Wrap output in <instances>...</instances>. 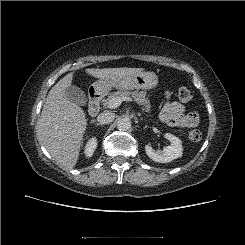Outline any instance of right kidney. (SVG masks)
Wrapping results in <instances>:
<instances>
[{
	"mask_svg": "<svg viewBox=\"0 0 245 245\" xmlns=\"http://www.w3.org/2000/svg\"><path fill=\"white\" fill-rule=\"evenodd\" d=\"M96 147H97V139L95 137L91 138L85 146L84 153H85L86 157H91L93 155Z\"/></svg>",
	"mask_w": 245,
	"mask_h": 245,
	"instance_id": "ca27d5eb",
	"label": "right kidney"
}]
</instances>
